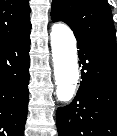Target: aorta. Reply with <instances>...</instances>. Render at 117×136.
<instances>
[{
    "instance_id": "762f6f07",
    "label": "aorta",
    "mask_w": 117,
    "mask_h": 136,
    "mask_svg": "<svg viewBox=\"0 0 117 136\" xmlns=\"http://www.w3.org/2000/svg\"><path fill=\"white\" fill-rule=\"evenodd\" d=\"M51 49L56 95L59 101H70L79 80L76 39L71 29L64 23L52 26Z\"/></svg>"
}]
</instances>
